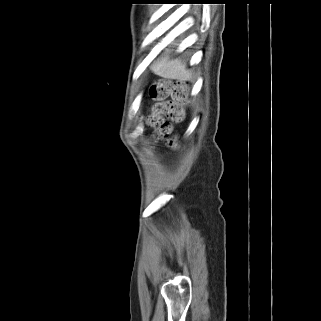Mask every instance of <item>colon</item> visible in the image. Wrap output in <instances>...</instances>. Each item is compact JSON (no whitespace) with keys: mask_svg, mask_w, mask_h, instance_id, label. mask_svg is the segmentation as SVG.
<instances>
[{"mask_svg":"<svg viewBox=\"0 0 321 321\" xmlns=\"http://www.w3.org/2000/svg\"><path fill=\"white\" fill-rule=\"evenodd\" d=\"M189 84L183 81H158L151 90L150 96L155 100H160L155 107L151 124L155 126L159 133L168 138L172 132L171 122H181L185 115V108L188 102ZM170 99H167V98ZM170 144H174V139H169Z\"/></svg>","mask_w":321,"mask_h":321,"instance_id":"5ec220e1","label":"colon"}]
</instances>
